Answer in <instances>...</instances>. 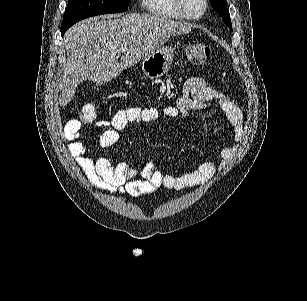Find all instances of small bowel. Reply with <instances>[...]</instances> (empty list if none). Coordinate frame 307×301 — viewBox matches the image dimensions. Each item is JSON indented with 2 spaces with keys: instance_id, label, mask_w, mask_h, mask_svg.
<instances>
[{
  "instance_id": "small-bowel-1",
  "label": "small bowel",
  "mask_w": 307,
  "mask_h": 301,
  "mask_svg": "<svg viewBox=\"0 0 307 301\" xmlns=\"http://www.w3.org/2000/svg\"><path fill=\"white\" fill-rule=\"evenodd\" d=\"M215 102L220 107L233 129L230 136L225 134V145L217 160L201 164L195 171L183 175H173L157 170L152 163L138 170L126 163L113 165L106 157L93 159L81 140L82 125L76 120L68 121L64 136L69 141L68 149L77 165L85 173L90 184L105 193H127L132 197L151 194L159 187L181 190L199 186L209 181L216 172L222 170L234 157L238 142L243 133V112L240 104L233 98L207 86L200 77H191L184 84L182 96L162 113L166 117H185L190 110H200ZM161 112L155 108L129 106L117 111L110 121L100 122L104 127L99 144L103 151H110L119 139V132L131 123H147L156 120Z\"/></svg>"
}]
</instances>
